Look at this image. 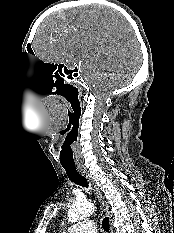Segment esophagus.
I'll use <instances>...</instances> for the list:
<instances>
[{
	"label": "esophagus",
	"instance_id": "1",
	"mask_svg": "<svg viewBox=\"0 0 174 233\" xmlns=\"http://www.w3.org/2000/svg\"><path fill=\"white\" fill-rule=\"evenodd\" d=\"M78 171L82 176H84L90 182L92 189L101 204L102 212H104L109 217L110 233H114L113 219L109 211L108 203L106 202L102 192L99 190L96 183L93 181V179L91 178V176L89 175V173L85 168H78Z\"/></svg>",
	"mask_w": 174,
	"mask_h": 233
}]
</instances>
